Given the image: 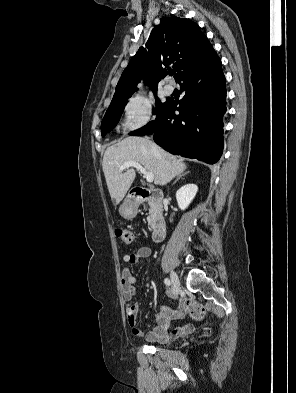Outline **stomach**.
<instances>
[{"label": "stomach", "mask_w": 296, "mask_h": 393, "mask_svg": "<svg viewBox=\"0 0 296 393\" xmlns=\"http://www.w3.org/2000/svg\"><path fill=\"white\" fill-rule=\"evenodd\" d=\"M120 215L125 219H132L137 214V209L130 201H125L119 208Z\"/></svg>", "instance_id": "stomach-1"}]
</instances>
